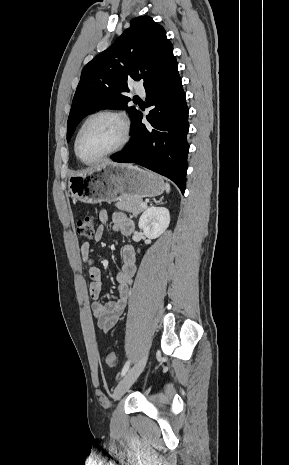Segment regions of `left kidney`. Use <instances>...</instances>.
<instances>
[{
	"label": "left kidney",
	"instance_id": "obj_1",
	"mask_svg": "<svg viewBox=\"0 0 289 465\" xmlns=\"http://www.w3.org/2000/svg\"><path fill=\"white\" fill-rule=\"evenodd\" d=\"M170 213L165 207H150L146 209L139 219V228L148 238L159 237L169 226Z\"/></svg>",
	"mask_w": 289,
	"mask_h": 465
}]
</instances>
